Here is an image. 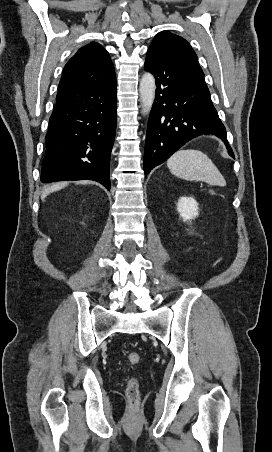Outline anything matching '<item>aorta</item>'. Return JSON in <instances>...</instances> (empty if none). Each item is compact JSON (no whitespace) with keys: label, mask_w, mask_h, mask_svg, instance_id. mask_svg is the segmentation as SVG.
Listing matches in <instances>:
<instances>
[{"label":"aorta","mask_w":272,"mask_h":452,"mask_svg":"<svg viewBox=\"0 0 272 452\" xmlns=\"http://www.w3.org/2000/svg\"><path fill=\"white\" fill-rule=\"evenodd\" d=\"M155 90L156 84L154 76L149 72H145L141 78L139 85L143 115H148L151 111L155 99Z\"/></svg>","instance_id":"1"}]
</instances>
